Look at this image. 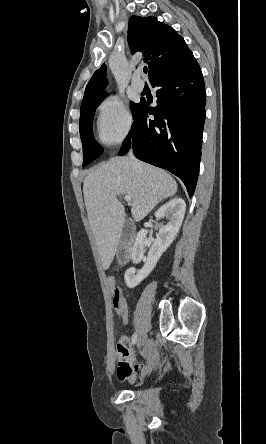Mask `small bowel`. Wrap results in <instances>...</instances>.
<instances>
[{"label":"small bowel","mask_w":266,"mask_h":444,"mask_svg":"<svg viewBox=\"0 0 266 444\" xmlns=\"http://www.w3.org/2000/svg\"><path fill=\"white\" fill-rule=\"evenodd\" d=\"M111 285L115 284L114 279H110ZM118 315L124 323L129 320V308L126 303L116 309ZM155 350L154 343H148L147 352L152 355ZM117 356L119 360L118 377L121 381H129L133 384H138L142 377L148 372L149 368L153 364V361L149 364L133 363V351L129 344V339L126 336H122L117 344Z\"/></svg>","instance_id":"1"}]
</instances>
